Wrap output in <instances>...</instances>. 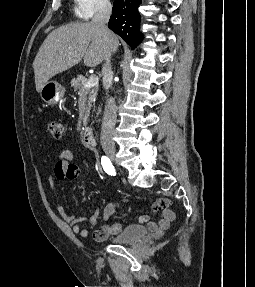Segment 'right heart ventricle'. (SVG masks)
<instances>
[{
    "instance_id": "obj_1",
    "label": "right heart ventricle",
    "mask_w": 255,
    "mask_h": 287,
    "mask_svg": "<svg viewBox=\"0 0 255 287\" xmlns=\"http://www.w3.org/2000/svg\"><path fill=\"white\" fill-rule=\"evenodd\" d=\"M73 39H75V38H73ZM122 48H132V47H122Z\"/></svg>"
}]
</instances>
